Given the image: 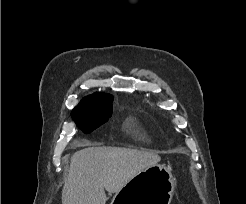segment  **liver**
Listing matches in <instances>:
<instances>
[{"mask_svg": "<svg viewBox=\"0 0 246 204\" xmlns=\"http://www.w3.org/2000/svg\"><path fill=\"white\" fill-rule=\"evenodd\" d=\"M160 160L151 151L110 146L81 149L71 158L62 204H105V190L117 193L135 175Z\"/></svg>", "mask_w": 246, "mask_h": 204, "instance_id": "obj_1", "label": "liver"}]
</instances>
